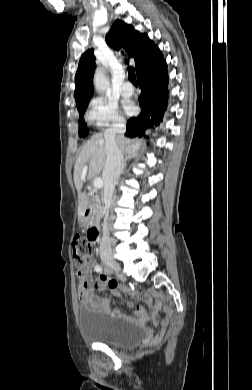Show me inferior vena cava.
<instances>
[{"label": "inferior vena cava", "instance_id": "1", "mask_svg": "<svg viewBox=\"0 0 252 390\" xmlns=\"http://www.w3.org/2000/svg\"><path fill=\"white\" fill-rule=\"evenodd\" d=\"M126 131L124 123H115L105 131L107 158L102 172L104 180V205L105 211L108 212L113 198L115 185L122 173L124 158L122 151L116 143L118 135L123 136ZM100 252H111V240L106 222L103 225V236L100 242Z\"/></svg>", "mask_w": 252, "mask_h": 390}]
</instances>
